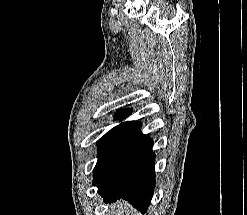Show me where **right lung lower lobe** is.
Listing matches in <instances>:
<instances>
[{
  "label": "right lung lower lobe",
  "instance_id": "98d812e1",
  "mask_svg": "<svg viewBox=\"0 0 247 215\" xmlns=\"http://www.w3.org/2000/svg\"><path fill=\"white\" fill-rule=\"evenodd\" d=\"M130 113V109H125L116 116L121 119ZM140 127V122H124L98 141L93 185L104 201L123 198L144 213L155 187V155L153 140L142 134Z\"/></svg>",
  "mask_w": 247,
  "mask_h": 215
}]
</instances>
